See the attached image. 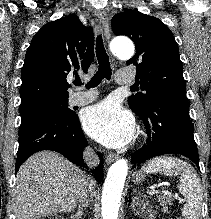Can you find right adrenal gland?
<instances>
[{
	"label": "right adrenal gland",
	"instance_id": "obj_1",
	"mask_svg": "<svg viewBox=\"0 0 211 219\" xmlns=\"http://www.w3.org/2000/svg\"><path fill=\"white\" fill-rule=\"evenodd\" d=\"M82 216H83V208H78V211L74 215H71V219H81Z\"/></svg>",
	"mask_w": 211,
	"mask_h": 219
}]
</instances>
